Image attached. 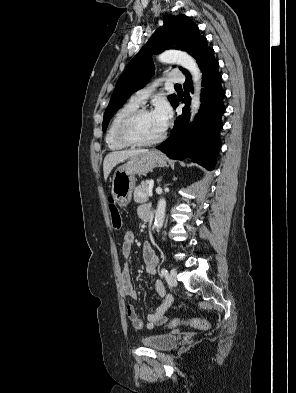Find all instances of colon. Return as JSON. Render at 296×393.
<instances>
[{"mask_svg": "<svg viewBox=\"0 0 296 393\" xmlns=\"http://www.w3.org/2000/svg\"><path fill=\"white\" fill-rule=\"evenodd\" d=\"M109 212H110V216H111V223L114 229L119 230L122 227V217L120 215V212L115 204V202L113 201V199H109ZM188 324L190 326L199 328V329H208L209 328V323L208 321L204 320V319H193V320H189V321H182L179 319H174L170 322L169 326L170 327H176L179 324Z\"/></svg>", "mask_w": 296, "mask_h": 393, "instance_id": "obj_1", "label": "colon"}]
</instances>
